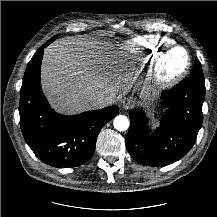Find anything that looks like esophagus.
<instances>
[{
  "mask_svg": "<svg viewBox=\"0 0 217 217\" xmlns=\"http://www.w3.org/2000/svg\"><path fill=\"white\" fill-rule=\"evenodd\" d=\"M122 107L125 109V110H128L132 107L135 106L136 104V100L133 98V97H125L122 102Z\"/></svg>",
  "mask_w": 217,
  "mask_h": 217,
  "instance_id": "esophagus-1",
  "label": "esophagus"
}]
</instances>
